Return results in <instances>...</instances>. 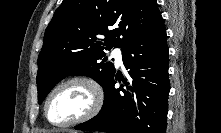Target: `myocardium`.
Returning <instances> with one entry per match:
<instances>
[{
  "mask_svg": "<svg viewBox=\"0 0 221 133\" xmlns=\"http://www.w3.org/2000/svg\"><path fill=\"white\" fill-rule=\"evenodd\" d=\"M71 84H81L85 86L90 92L91 104L89 108L87 109V111L84 112L79 117H76L64 123H55L51 121L48 116L49 102L51 98L53 97V95L58 90ZM103 103H104V92L100 84L95 79L87 77V76H72V77L62 80L49 91L44 101L43 113H44V117L46 118V120L52 126L59 127V128H66V127H71V126H75V125L87 122L91 120L92 118H94L100 112L103 106Z\"/></svg>",
  "mask_w": 221,
  "mask_h": 133,
  "instance_id": "f54148a6",
  "label": "myocardium"
}]
</instances>
